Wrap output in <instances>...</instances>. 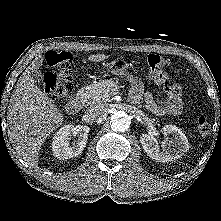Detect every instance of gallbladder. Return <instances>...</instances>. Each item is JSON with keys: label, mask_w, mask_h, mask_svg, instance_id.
I'll return each instance as SVG.
<instances>
[{"label": "gallbladder", "mask_w": 221, "mask_h": 221, "mask_svg": "<svg viewBox=\"0 0 221 221\" xmlns=\"http://www.w3.org/2000/svg\"><path fill=\"white\" fill-rule=\"evenodd\" d=\"M33 78L35 82L40 83L43 80V74L41 73V71L36 70L33 72Z\"/></svg>", "instance_id": "gallbladder-1"}]
</instances>
